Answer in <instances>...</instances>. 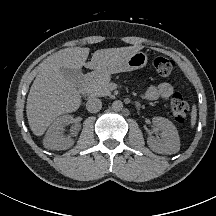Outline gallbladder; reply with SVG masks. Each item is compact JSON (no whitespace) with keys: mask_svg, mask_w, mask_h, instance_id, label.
I'll use <instances>...</instances> for the list:
<instances>
[{"mask_svg":"<svg viewBox=\"0 0 216 216\" xmlns=\"http://www.w3.org/2000/svg\"><path fill=\"white\" fill-rule=\"evenodd\" d=\"M63 76L72 84L79 86L83 81V73L80 69L61 68Z\"/></svg>","mask_w":216,"mask_h":216,"instance_id":"bac80fb5","label":"gallbladder"}]
</instances>
